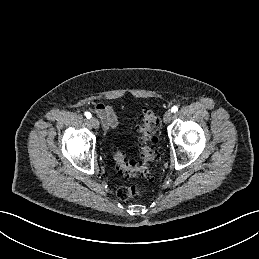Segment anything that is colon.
I'll return each mask as SVG.
<instances>
[{"instance_id": "obj_1", "label": "colon", "mask_w": 259, "mask_h": 259, "mask_svg": "<svg viewBox=\"0 0 259 259\" xmlns=\"http://www.w3.org/2000/svg\"><path fill=\"white\" fill-rule=\"evenodd\" d=\"M159 119L156 109L146 108L141 116V121L137 127L139 134V154L141 163L135 164L128 161L122 152H114V160L118 168L124 175L131 179L149 178L151 176V165L156 160V152L153 144L156 142V134L159 129ZM147 188L139 183L123 186L118 189L117 196L121 200H128L133 197L145 195Z\"/></svg>"}]
</instances>
